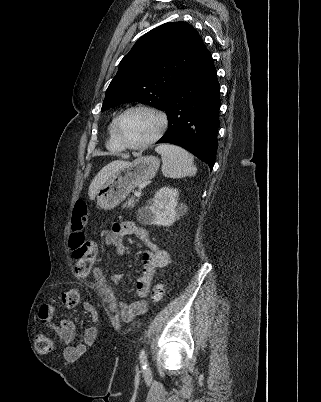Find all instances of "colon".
I'll return each mask as SVG.
<instances>
[{"label":"colon","mask_w":321,"mask_h":402,"mask_svg":"<svg viewBox=\"0 0 321 402\" xmlns=\"http://www.w3.org/2000/svg\"><path fill=\"white\" fill-rule=\"evenodd\" d=\"M88 221L87 202L78 201L72 211L71 229L72 232L68 238V246L72 256L76 260V271L81 277H86L91 272L94 262L97 258V245L88 240L84 229ZM165 294V285L162 282L156 283L151 291V298L154 302L160 301ZM80 300L79 290L76 288L65 291L62 295V304L70 309L74 308ZM54 348V340L48 334H39L36 337V350L39 353L51 352Z\"/></svg>","instance_id":"obj_1"}]
</instances>
